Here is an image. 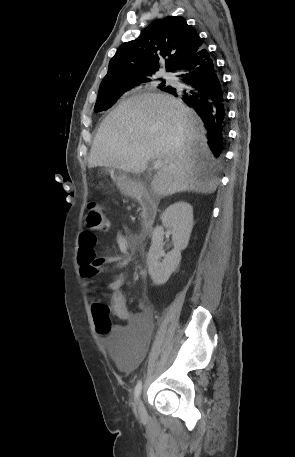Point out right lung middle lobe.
<instances>
[{
	"instance_id": "obj_1",
	"label": "right lung middle lobe",
	"mask_w": 295,
	"mask_h": 457,
	"mask_svg": "<svg viewBox=\"0 0 295 457\" xmlns=\"http://www.w3.org/2000/svg\"><path fill=\"white\" fill-rule=\"evenodd\" d=\"M151 85H155V86H157V88H160L163 91L167 87H169L166 85L164 80L160 84H155L154 79L146 80L141 85H138V86H151ZM138 86H129V87L118 88V89H114V90L99 91L97 102L94 107V111L101 112V111L107 110L113 104H115L122 95H124L125 93L129 92L131 89L138 87Z\"/></svg>"
}]
</instances>
